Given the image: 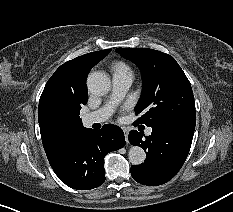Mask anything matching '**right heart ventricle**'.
Returning <instances> with one entry per match:
<instances>
[{
	"mask_svg": "<svg viewBox=\"0 0 233 212\" xmlns=\"http://www.w3.org/2000/svg\"><path fill=\"white\" fill-rule=\"evenodd\" d=\"M113 70L115 73H130L129 67L121 61L115 62L113 64Z\"/></svg>",
	"mask_w": 233,
	"mask_h": 212,
	"instance_id": "obj_1",
	"label": "right heart ventricle"
}]
</instances>
